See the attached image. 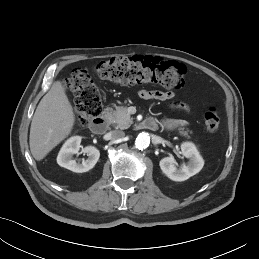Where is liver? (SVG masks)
<instances>
[{
  "label": "liver",
  "mask_w": 259,
  "mask_h": 259,
  "mask_svg": "<svg viewBox=\"0 0 259 259\" xmlns=\"http://www.w3.org/2000/svg\"><path fill=\"white\" fill-rule=\"evenodd\" d=\"M73 107L61 81H55L41 99L33 115L29 145L33 157L40 161L72 131Z\"/></svg>",
  "instance_id": "obj_1"
}]
</instances>
